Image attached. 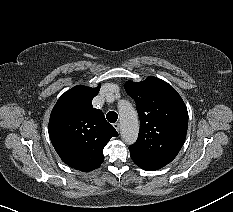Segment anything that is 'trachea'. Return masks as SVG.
Returning a JSON list of instances; mask_svg holds the SVG:
<instances>
[{
  "label": "trachea",
  "instance_id": "3493384b",
  "mask_svg": "<svg viewBox=\"0 0 233 212\" xmlns=\"http://www.w3.org/2000/svg\"><path fill=\"white\" fill-rule=\"evenodd\" d=\"M106 118L110 123H115L118 119V114L114 111H110L107 113Z\"/></svg>",
  "mask_w": 233,
  "mask_h": 212
}]
</instances>
